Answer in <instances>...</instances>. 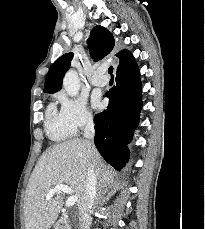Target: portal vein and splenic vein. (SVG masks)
<instances>
[{"mask_svg":"<svg viewBox=\"0 0 205 229\" xmlns=\"http://www.w3.org/2000/svg\"><path fill=\"white\" fill-rule=\"evenodd\" d=\"M56 192H64V193H67V194H72L73 190L68 185L57 184L47 192L46 198L47 199H51ZM77 200H78V196L76 194L71 195L66 200V207H71V206L75 205Z\"/></svg>","mask_w":205,"mask_h":229,"instance_id":"1","label":"portal vein and splenic vein"}]
</instances>
